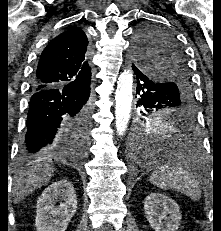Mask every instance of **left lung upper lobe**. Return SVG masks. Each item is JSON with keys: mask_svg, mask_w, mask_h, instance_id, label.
Returning a JSON list of instances; mask_svg holds the SVG:
<instances>
[{"mask_svg": "<svg viewBox=\"0 0 221 231\" xmlns=\"http://www.w3.org/2000/svg\"><path fill=\"white\" fill-rule=\"evenodd\" d=\"M133 51L138 67L148 70L151 77L167 85L156 97L143 102L142 116H189L194 96L186 56L175 37L165 29L143 25L136 33ZM140 120L146 123L145 118ZM142 125L137 124V132L151 137L143 131Z\"/></svg>", "mask_w": 221, "mask_h": 231, "instance_id": "5c2ea615", "label": "left lung upper lobe"}]
</instances>
